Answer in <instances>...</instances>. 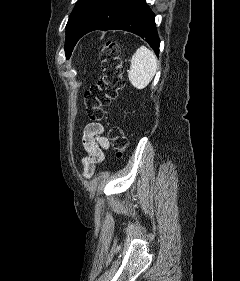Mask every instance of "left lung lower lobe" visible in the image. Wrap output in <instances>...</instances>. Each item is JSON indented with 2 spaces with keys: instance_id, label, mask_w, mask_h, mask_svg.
Returning a JSON list of instances; mask_svg holds the SVG:
<instances>
[{
  "instance_id": "left-lung-lower-lobe-1",
  "label": "left lung lower lobe",
  "mask_w": 240,
  "mask_h": 281,
  "mask_svg": "<svg viewBox=\"0 0 240 281\" xmlns=\"http://www.w3.org/2000/svg\"><path fill=\"white\" fill-rule=\"evenodd\" d=\"M154 17L145 0H103L83 26L78 40L94 30H125L145 39L158 55L160 39Z\"/></svg>"
}]
</instances>
